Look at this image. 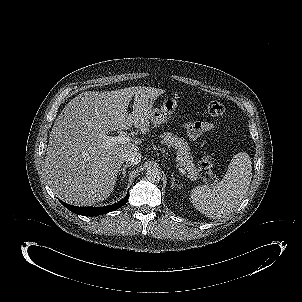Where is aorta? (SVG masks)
<instances>
[{
	"instance_id": "obj_1",
	"label": "aorta",
	"mask_w": 302,
	"mask_h": 302,
	"mask_svg": "<svg viewBox=\"0 0 302 302\" xmlns=\"http://www.w3.org/2000/svg\"><path fill=\"white\" fill-rule=\"evenodd\" d=\"M145 176L148 179V181L154 183V182L160 181L162 175L158 168L151 167V168L147 169Z\"/></svg>"
}]
</instances>
